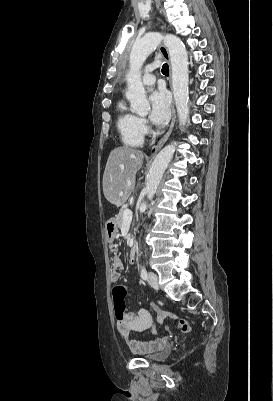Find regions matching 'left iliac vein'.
<instances>
[{
	"mask_svg": "<svg viewBox=\"0 0 273 401\" xmlns=\"http://www.w3.org/2000/svg\"><path fill=\"white\" fill-rule=\"evenodd\" d=\"M148 283L150 284L151 287L154 289L158 290L159 285H158V276L154 272H149L148 276Z\"/></svg>",
	"mask_w": 273,
	"mask_h": 401,
	"instance_id": "obj_1",
	"label": "left iliac vein"
}]
</instances>
